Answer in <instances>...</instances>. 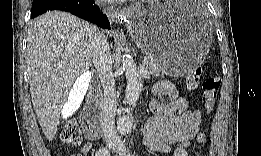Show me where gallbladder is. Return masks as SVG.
Listing matches in <instances>:
<instances>
[{
  "label": "gallbladder",
  "mask_w": 261,
  "mask_h": 156,
  "mask_svg": "<svg viewBox=\"0 0 261 156\" xmlns=\"http://www.w3.org/2000/svg\"><path fill=\"white\" fill-rule=\"evenodd\" d=\"M91 77V73L86 72L78 76V79L75 80L67 97L68 99L64 102V109L60 110L62 112L61 114H63V119H69L68 117H71V114L80 108V104L86 95L85 92L89 89Z\"/></svg>",
  "instance_id": "1"
}]
</instances>
